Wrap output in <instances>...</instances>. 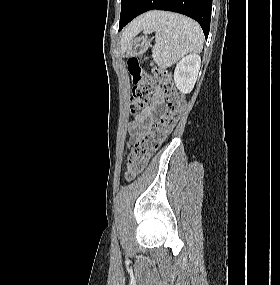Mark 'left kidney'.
<instances>
[{"instance_id":"5707ae66","label":"left kidney","mask_w":280,"mask_h":285,"mask_svg":"<svg viewBox=\"0 0 280 285\" xmlns=\"http://www.w3.org/2000/svg\"><path fill=\"white\" fill-rule=\"evenodd\" d=\"M201 65V57L190 54L182 58L174 71L176 87L184 94L190 93L196 83Z\"/></svg>"}]
</instances>
